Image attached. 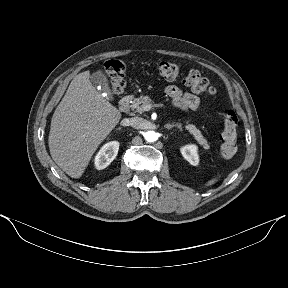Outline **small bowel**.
<instances>
[{"instance_id": "c3829d8e", "label": "small bowel", "mask_w": 288, "mask_h": 288, "mask_svg": "<svg viewBox=\"0 0 288 288\" xmlns=\"http://www.w3.org/2000/svg\"><path fill=\"white\" fill-rule=\"evenodd\" d=\"M166 94L172 99L174 105L185 111L198 109L200 99L193 93L184 92L175 85H169L165 89Z\"/></svg>"}]
</instances>
